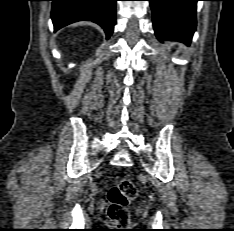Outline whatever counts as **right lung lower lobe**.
<instances>
[{
  "instance_id": "1",
  "label": "right lung lower lobe",
  "mask_w": 234,
  "mask_h": 231,
  "mask_svg": "<svg viewBox=\"0 0 234 231\" xmlns=\"http://www.w3.org/2000/svg\"><path fill=\"white\" fill-rule=\"evenodd\" d=\"M51 18L54 30L77 21H93L99 24L108 39L114 29L117 0H51Z\"/></svg>"
}]
</instances>
